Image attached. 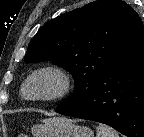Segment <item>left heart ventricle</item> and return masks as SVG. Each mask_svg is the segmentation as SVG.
Listing matches in <instances>:
<instances>
[{"instance_id": "1", "label": "left heart ventricle", "mask_w": 144, "mask_h": 137, "mask_svg": "<svg viewBox=\"0 0 144 137\" xmlns=\"http://www.w3.org/2000/svg\"><path fill=\"white\" fill-rule=\"evenodd\" d=\"M57 80L51 75H42L31 81L26 87L27 96H42L51 94L57 88Z\"/></svg>"}]
</instances>
